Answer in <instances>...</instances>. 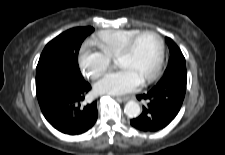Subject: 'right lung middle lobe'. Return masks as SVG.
I'll list each match as a JSON object with an SVG mask.
<instances>
[{
	"label": "right lung middle lobe",
	"instance_id": "1",
	"mask_svg": "<svg viewBox=\"0 0 225 155\" xmlns=\"http://www.w3.org/2000/svg\"><path fill=\"white\" fill-rule=\"evenodd\" d=\"M93 31L92 27L73 28L45 46L36 68V92L59 76H82L78 66V53L83 40Z\"/></svg>",
	"mask_w": 225,
	"mask_h": 155
}]
</instances>
